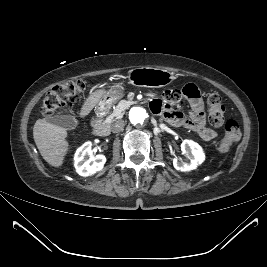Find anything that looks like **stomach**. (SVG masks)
Listing matches in <instances>:
<instances>
[{
  "mask_svg": "<svg viewBox=\"0 0 267 267\" xmlns=\"http://www.w3.org/2000/svg\"><path fill=\"white\" fill-rule=\"evenodd\" d=\"M177 78L174 72L163 69L138 67L128 72L129 83L138 87L160 88L170 84ZM124 84L117 83L108 91H105L95 105L97 112L108 109L123 96Z\"/></svg>",
  "mask_w": 267,
  "mask_h": 267,
  "instance_id": "obj_1",
  "label": "stomach"
}]
</instances>
